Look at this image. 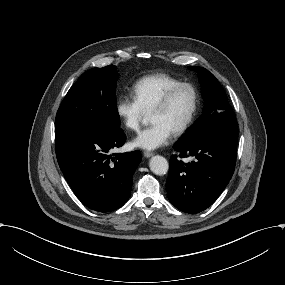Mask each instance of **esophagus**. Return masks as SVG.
I'll return each instance as SVG.
<instances>
[{"label":"esophagus","instance_id":"1","mask_svg":"<svg viewBox=\"0 0 285 285\" xmlns=\"http://www.w3.org/2000/svg\"><path fill=\"white\" fill-rule=\"evenodd\" d=\"M144 156H145L146 158H149V157L153 156V153L146 151V152H144Z\"/></svg>","mask_w":285,"mask_h":285}]
</instances>
